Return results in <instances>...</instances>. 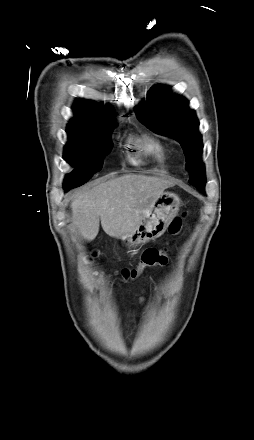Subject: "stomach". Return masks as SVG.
Wrapping results in <instances>:
<instances>
[{"label": "stomach", "instance_id": "obj_1", "mask_svg": "<svg viewBox=\"0 0 254 440\" xmlns=\"http://www.w3.org/2000/svg\"><path fill=\"white\" fill-rule=\"evenodd\" d=\"M181 200L177 194L163 192L152 203L150 210L134 233L122 238L130 247H135L160 237L172 219L178 214Z\"/></svg>", "mask_w": 254, "mask_h": 440}]
</instances>
